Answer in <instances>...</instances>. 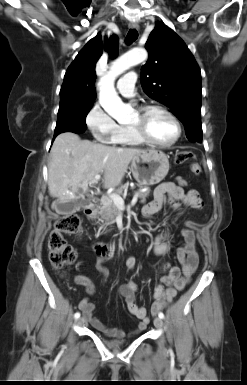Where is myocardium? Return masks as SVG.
<instances>
[{
  "label": "myocardium",
  "instance_id": "obj_1",
  "mask_svg": "<svg viewBox=\"0 0 247 385\" xmlns=\"http://www.w3.org/2000/svg\"><path fill=\"white\" fill-rule=\"evenodd\" d=\"M152 111H160L167 115L172 122L175 125L176 128V134L174 138L166 143H160L152 140L147 133L144 130L143 127V120L146 118V116L152 112ZM137 115L139 118V123L136 125H130L131 130L134 132V134L141 140L143 143H146L150 146L158 147V148H169L176 144L178 140L180 139L182 135V126L178 118L167 108L161 106V105H145L137 109Z\"/></svg>",
  "mask_w": 247,
  "mask_h": 385
}]
</instances>
